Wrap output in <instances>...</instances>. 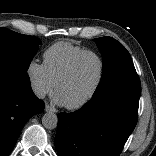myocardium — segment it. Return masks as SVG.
<instances>
[{"instance_id":"1","label":"myocardium","mask_w":156,"mask_h":156,"mask_svg":"<svg viewBox=\"0 0 156 156\" xmlns=\"http://www.w3.org/2000/svg\"><path fill=\"white\" fill-rule=\"evenodd\" d=\"M88 55H93L95 56L98 60H99V63H100V74H99V78L95 84V86L93 87V89L90 91V93L84 97L81 101L77 102V103H74V104H64V106L67 108V109H70V110H77V109H80L82 107H84L85 105H87L95 96L96 94L98 93V91L100 90L102 84H103V81H104V78H105V61H104V58L102 57V55L100 53H98L97 51H94V50H85L81 53H79L77 56H75L73 58V60L70 62V64L68 65V67L66 68V70L64 71V73L58 78V80L56 81L55 83V94L57 93L58 91V88L65 82L67 81L70 76L72 75L77 63L85 56H88Z\"/></svg>"}]
</instances>
